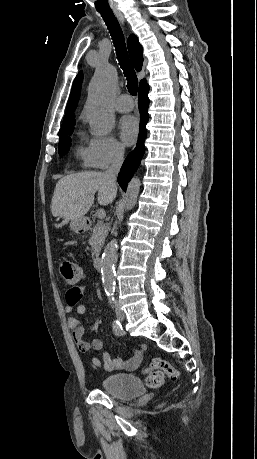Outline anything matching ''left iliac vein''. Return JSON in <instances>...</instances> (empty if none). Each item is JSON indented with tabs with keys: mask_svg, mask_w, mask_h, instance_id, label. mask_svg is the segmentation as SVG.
Segmentation results:
<instances>
[{
	"mask_svg": "<svg viewBox=\"0 0 257 459\" xmlns=\"http://www.w3.org/2000/svg\"><path fill=\"white\" fill-rule=\"evenodd\" d=\"M119 314L121 316V320H123L124 319V314L121 311L119 312Z\"/></svg>",
	"mask_w": 257,
	"mask_h": 459,
	"instance_id": "obj_1",
	"label": "left iliac vein"
}]
</instances>
